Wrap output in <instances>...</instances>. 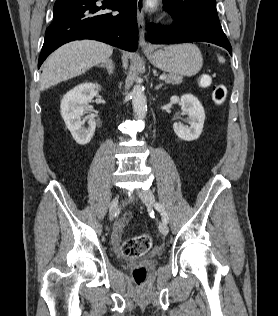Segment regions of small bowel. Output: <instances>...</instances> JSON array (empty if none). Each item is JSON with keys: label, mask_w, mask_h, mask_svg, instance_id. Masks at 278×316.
Wrapping results in <instances>:
<instances>
[{"label": "small bowel", "mask_w": 278, "mask_h": 316, "mask_svg": "<svg viewBox=\"0 0 278 316\" xmlns=\"http://www.w3.org/2000/svg\"><path fill=\"white\" fill-rule=\"evenodd\" d=\"M127 220H128V216H125V217L120 221L119 225L117 226L116 234H115L116 240L119 239L121 230H122L123 226L125 225V223L127 222Z\"/></svg>", "instance_id": "c3829d8e"}]
</instances>
